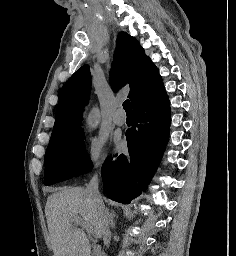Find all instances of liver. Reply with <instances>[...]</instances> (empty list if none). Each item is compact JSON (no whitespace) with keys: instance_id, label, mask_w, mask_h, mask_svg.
<instances>
[{"instance_id":"obj_1","label":"liver","mask_w":236,"mask_h":256,"mask_svg":"<svg viewBox=\"0 0 236 256\" xmlns=\"http://www.w3.org/2000/svg\"><path fill=\"white\" fill-rule=\"evenodd\" d=\"M45 216L54 256H90L91 244L84 232L75 228L74 216H82L97 238H102L108 220L106 210L84 188H59L47 198Z\"/></svg>"}]
</instances>
